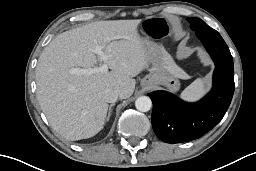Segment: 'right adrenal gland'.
I'll use <instances>...</instances> for the list:
<instances>
[{
  "mask_svg": "<svg viewBox=\"0 0 256 171\" xmlns=\"http://www.w3.org/2000/svg\"><path fill=\"white\" fill-rule=\"evenodd\" d=\"M114 105H115V104L112 103V104L109 106L108 115H107V117H106V121L109 120V118H110V116H111V114H112V107H113Z\"/></svg>",
  "mask_w": 256,
  "mask_h": 171,
  "instance_id": "obj_1",
  "label": "right adrenal gland"
}]
</instances>
